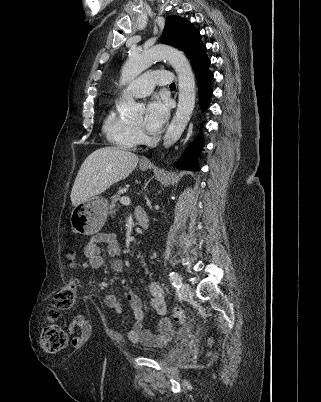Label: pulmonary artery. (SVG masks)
<instances>
[{
	"mask_svg": "<svg viewBox=\"0 0 321 402\" xmlns=\"http://www.w3.org/2000/svg\"><path fill=\"white\" fill-rule=\"evenodd\" d=\"M173 81L174 76L170 71H150L133 80L123 92L127 95L144 97L149 95L155 86H167Z\"/></svg>",
	"mask_w": 321,
	"mask_h": 402,
	"instance_id": "e3ab8cb5",
	"label": "pulmonary artery"
}]
</instances>
